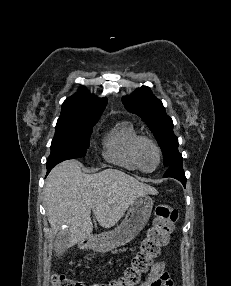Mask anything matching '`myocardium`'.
Masks as SVG:
<instances>
[{
    "label": "myocardium",
    "mask_w": 231,
    "mask_h": 286,
    "mask_svg": "<svg viewBox=\"0 0 231 286\" xmlns=\"http://www.w3.org/2000/svg\"><path fill=\"white\" fill-rule=\"evenodd\" d=\"M143 144L151 145L157 153V157H158L157 165L152 170L144 169L142 164H141L140 151H141V147ZM133 157H134V161H135L139 170H141L145 173H151V172H154L160 166V164L162 162V151L160 149V146L158 145V143L154 139L147 137V136H139L136 139L134 146H133Z\"/></svg>",
    "instance_id": "obj_1"
}]
</instances>
